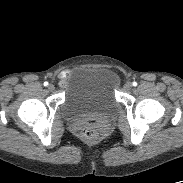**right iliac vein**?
Segmentation results:
<instances>
[{"mask_svg":"<svg viewBox=\"0 0 183 183\" xmlns=\"http://www.w3.org/2000/svg\"><path fill=\"white\" fill-rule=\"evenodd\" d=\"M55 89L54 85L53 84H49L48 85V90L49 91H53Z\"/></svg>","mask_w":183,"mask_h":183,"instance_id":"obj_1","label":"right iliac vein"}]
</instances>
